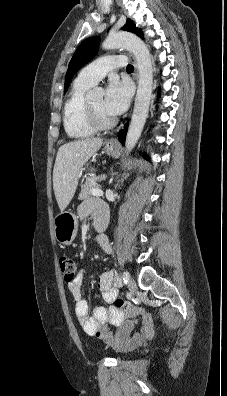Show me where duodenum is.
<instances>
[{
	"label": "duodenum",
	"mask_w": 227,
	"mask_h": 396,
	"mask_svg": "<svg viewBox=\"0 0 227 396\" xmlns=\"http://www.w3.org/2000/svg\"><path fill=\"white\" fill-rule=\"evenodd\" d=\"M107 223H108V216H107V214H103V215L97 217V219L95 220V222H94L95 229L98 232H102L106 229Z\"/></svg>",
	"instance_id": "duodenum-1"
}]
</instances>
